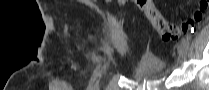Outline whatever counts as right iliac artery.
<instances>
[{
	"mask_svg": "<svg viewBox=\"0 0 209 90\" xmlns=\"http://www.w3.org/2000/svg\"><path fill=\"white\" fill-rule=\"evenodd\" d=\"M96 77H97V69L94 71V73L91 77L90 84H89V89H92L91 87H92L94 81L96 80Z\"/></svg>",
	"mask_w": 209,
	"mask_h": 90,
	"instance_id": "1",
	"label": "right iliac artery"
}]
</instances>
